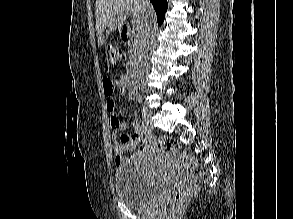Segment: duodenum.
I'll use <instances>...</instances> for the list:
<instances>
[{"instance_id": "obj_1", "label": "duodenum", "mask_w": 293, "mask_h": 219, "mask_svg": "<svg viewBox=\"0 0 293 219\" xmlns=\"http://www.w3.org/2000/svg\"><path fill=\"white\" fill-rule=\"evenodd\" d=\"M121 40L124 43H132L135 41V36L128 26H123L120 31ZM125 83L130 85L132 88H138L139 86V67L134 66L126 75Z\"/></svg>"}]
</instances>
